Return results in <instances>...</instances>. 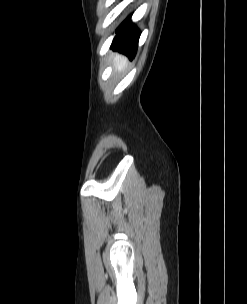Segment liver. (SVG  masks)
<instances>
[{"label":"liver","mask_w":247,"mask_h":304,"mask_svg":"<svg viewBox=\"0 0 247 304\" xmlns=\"http://www.w3.org/2000/svg\"><path fill=\"white\" fill-rule=\"evenodd\" d=\"M114 64H115V71L121 72L127 66L128 61L125 57L116 54L114 56Z\"/></svg>","instance_id":"liver-1"}]
</instances>
